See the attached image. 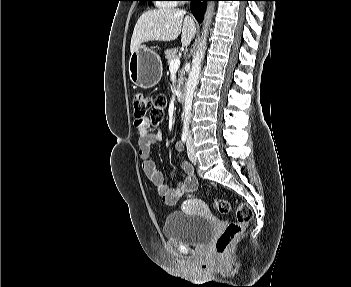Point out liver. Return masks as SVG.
<instances>
[{"label":"liver","mask_w":351,"mask_h":287,"mask_svg":"<svg viewBox=\"0 0 351 287\" xmlns=\"http://www.w3.org/2000/svg\"><path fill=\"white\" fill-rule=\"evenodd\" d=\"M175 8H160L143 13L138 19L131 38L130 51L149 41H173L181 34L182 46L187 47L196 34L191 16Z\"/></svg>","instance_id":"obj_1"}]
</instances>
